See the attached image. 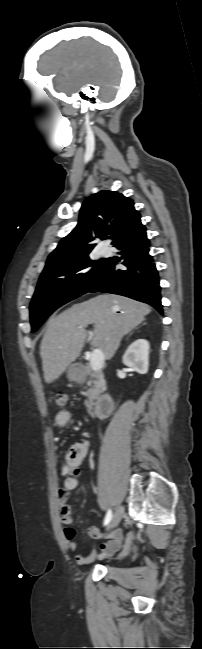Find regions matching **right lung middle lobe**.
I'll return each instance as SVG.
<instances>
[{
    "mask_svg": "<svg viewBox=\"0 0 202 649\" xmlns=\"http://www.w3.org/2000/svg\"><path fill=\"white\" fill-rule=\"evenodd\" d=\"M88 254L76 260L70 271L39 279L30 304L31 332L57 308L87 292L106 262H95Z\"/></svg>",
    "mask_w": 202,
    "mask_h": 649,
    "instance_id": "obj_1",
    "label": "right lung middle lobe"
}]
</instances>
